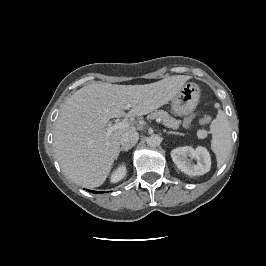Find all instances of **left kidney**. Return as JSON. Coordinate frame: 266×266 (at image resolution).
<instances>
[{
    "instance_id": "5707ae66",
    "label": "left kidney",
    "mask_w": 266,
    "mask_h": 266,
    "mask_svg": "<svg viewBox=\"0 0 266 266\" xmlns=\"http://www.w3.org/2000/svg\"><path fill=\"white\" fill-rule=\"evenodd\" d=\"M171 157L175 165L187 175L199 176L210 171L211 157L205 147L184 146L173 149ZM196 160L197 163H194Z\"/></svg>"
}]
</instances>
